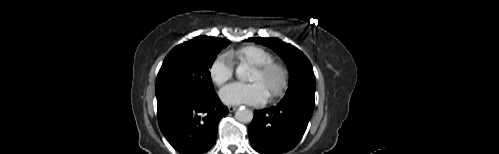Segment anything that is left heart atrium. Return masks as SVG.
<instances>
[{"mask_svg": "<svg viewBox=\"0 0 499 154\" xmlns=\"http://www.w3.org/2000/svg\"><path fill=\"white\" fill-rule=\"evenodd\" d=\"M268 93L260 82H234L220 91V98L226 104L261 105L266 102Z\"/></svg>", "mask_w": 499, "mask_h": 154, "instance_id": "left-heart-atrium-1", "label": "left heart atrium"}]
</instances>
